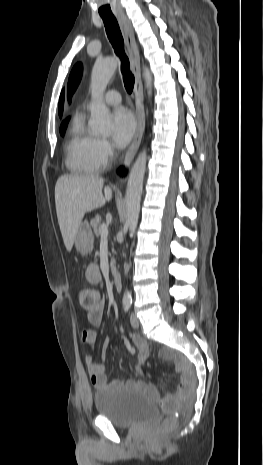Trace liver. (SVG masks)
I'll return each mask as SVG.
<instances>
[{"instance_id":"6515ba94","label":"liver","mask_w":263,"mask_h":465,"mask_svg":"<svg viewBox=\"0 0 263 465\" xmlns=\"http://www.w3.org/2000/svg\"><path fill=\"white\" fill-rule=\"evenodd\" d=\"M96 175H63L55 185V205L66 250L70 252L84 215L105 205L112 198L109 186Z\"/></svg>"}]
</instances>
